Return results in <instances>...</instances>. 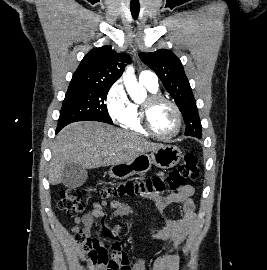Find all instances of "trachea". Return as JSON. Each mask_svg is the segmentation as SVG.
<instances>
[{"label": "trachea", "instance_id": "trachea-1", "mask_svg": "<svg viewBox=\"0 0 267 270\" xmlns=\"http://www.w3.org/2000/svg\"><path fill=\"white\" fill-rule=\"evenodd\" d=\"M130 9H131V14L133 18L137 19L139 15L140 7H130Z\"/></svg>", "mask_w": 267, "mask_h": 270}]
</instances>
